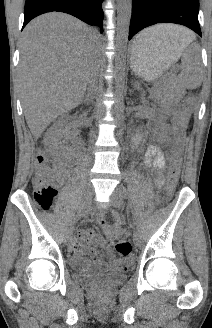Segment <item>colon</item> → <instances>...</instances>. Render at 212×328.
<instances>
[{
  "instance_id": "5ec220e1",
  "label": "colon",
  "mask_w": 212,
  "mask_h": 328,
  "mask_svg": "<svg viewBox=\"0 0 212 328\" xmlns=\"http://www.w3.org/2000/svg\"><path fill=\"white\" fill-rule=\"evenodd\" d=\"M53 170L48 166L47 158L44 152L40 151L35 155L34 159V174H33V184H34V200L36 204L42 210H49L57 196V189L50 182L52 179ZM179 175V155L176 151L174 153L172 167L170 169L168 180L166 184V195L170 198L175 191L178 183ZM116 251L121 256L125 257L129 262L134 260L132 254V245L129 241H119L116 244Z\"/></svg>"
}]
</instances>
